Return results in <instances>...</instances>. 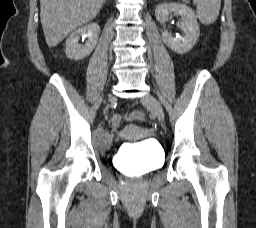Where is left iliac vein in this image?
I'll use <instances>...</instances> for the list:
<instances>
[{
	"label": "left iliac vein",
	"instance_id": "1",
	"mask_svg": "<svg viewBox=\"0 0 256 228\" xmlns=\"http://www.w3.org/2000/svg\"><path fill=\"white\" fill-rule=\"evenodd\" d=\"M142 103L147 106L157 117L159 122L164 121V111L160 102L151 94L147 93L142 97Z\"/></svg>",
	"mask_w": 256,
	"mask_h": 228
}]
</instances>
